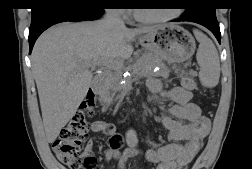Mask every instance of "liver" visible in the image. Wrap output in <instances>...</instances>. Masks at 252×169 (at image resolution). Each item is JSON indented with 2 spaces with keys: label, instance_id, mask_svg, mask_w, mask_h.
<instances>
[{
  "label": "liver",
  "instance_id": "liver-1",
  "mask_svg": "<svg viewBox=\"0 0 252 169\" xmlns=\"http://www.w3.org/2000/svg\"><path fill=\"white\" fill-rule=\"evenodd\" d=\"M158 27L116 28L104 19L65 22L37 39L31 63L49 143L56 140L86 97L93 78L90 68L101 60L130 58L134 39Z\"/></svg>",
  "mask_w": 252,
  "mask_h": 169
}]
</instances>
